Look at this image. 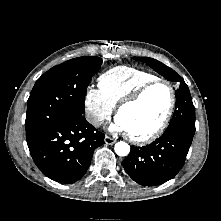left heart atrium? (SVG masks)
Instances as JSON below:
<instances>
[{
  "label": "left heart atrium",
  "instance_id": "left-heart-atrium-1",
  "mask_svg": "<svg viewBox=\"0 0 221 221\" xmlns=\"http://www.w3.org/2000/svg\"><path fill=\"white\" fill-rule=\"evenodd\" d=\"M111 129L114 131H126L125 126L119 119L114 125H112Z\"/></svg>",
  "mask_w": 221,
  "mask_h": 221
}]
</instances>
